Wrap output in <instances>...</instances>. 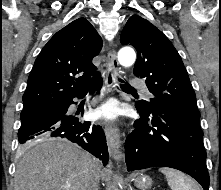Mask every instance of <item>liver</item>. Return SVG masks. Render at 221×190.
Instances as JSON below:
<instances>
[{
	"mask_svg": "<svg viewBox=\"0 0 221 190\" xmlns=\"http://www.w3.org/2000/svg\"><path fill=\"white\" fill-rule=\"evenodd\" d=\"M20 155L14 190H87L92 166L98 161L76 144L58 139H36L22 147ZM100 175L107 179L106 171Z\"/></svg>",
	"mask_w": 221,
	"mask_h": 190,
	"instance_id": "1",
	"label": "liver"
}]
</instances>
